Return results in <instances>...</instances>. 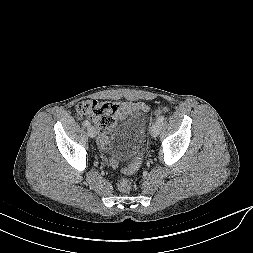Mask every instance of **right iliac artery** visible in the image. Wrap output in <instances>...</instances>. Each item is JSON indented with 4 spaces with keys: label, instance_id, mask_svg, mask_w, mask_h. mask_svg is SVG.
<instances>
[{
    "label": "right iliac artery",
    "instance_id": "right-iliac-artery-1",
    "mask_svg": "<svg viewBox=\"0 0 253 253\" xmlns=\"http://www.w3.org/2000/svg\"><path fill=\"white\" fill-rule=\"evenodd\" d=\"M83 125L86 126V127H89L90 126V122L87 121V120H85V121H83Z\"/></svg>",
    "mask_w": 253,
    "mask_h": 253
}]
</instances>
